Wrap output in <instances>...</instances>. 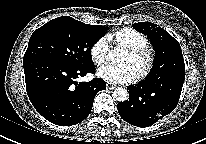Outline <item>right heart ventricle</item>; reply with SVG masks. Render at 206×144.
I'll use <instances>...</instances> for the list:
<instances>
[{"label": "right heart ventricle", "instance_id": "obj_1", "mask_svg": "<svg viewBox=\"0 0 206 144\" xmlns=\"http://www.w3.org/2000/svg\"><path fill=\"white\" fill-rule=\"evenodd\" d=\"M109 42L115 45H122L125 47H142L147 46V38L132 28H121L107 36Z\"/></svg>", "mask_w": 206, "mask_h": 144}]
</instances>
